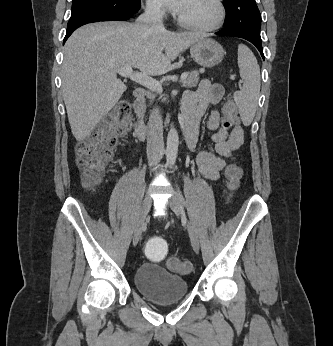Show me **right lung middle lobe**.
<instances>
[{
  "label": "right lung middle lobe",
  "mask_w": 333,
  "mask_h": 346,
  "mask_svg": "<svg viewBox=\"0 0 333 346\" xmlns=\"http://www.w3.org/2000/svg\"><path fill=\"white\" fill-rule=\"evenodd\" d=\"M140 0H73L68 25L90 15L127 16L136 13Z\"/></svg>",
  "instance_id": "right-lung-middle-lobe-1"
}]
</instances>
